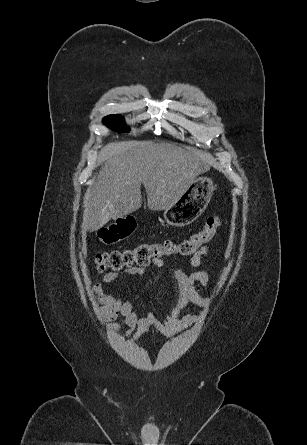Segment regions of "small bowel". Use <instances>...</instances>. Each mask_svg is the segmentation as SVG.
Here are the masks:
<instances>
[{"mask_svg":"<svg viewBox=\"0 0 307 445\" xmlns=\"http://www.w3.org/2000/svg\"><path fill=\"white\" fill-rule=\"evenodd\" d=\"M209 252L208 246L201 247L190 259V264L194 270L190 273L182 269H174L173 275L178 285V298L174 307L170 310L163 320H158L152 313L139 317L135 311V306L130 301H125L122 297L115 296L106 289L118 280L122 274L130 276H141L146 270L142 267H132L126 269L122 274L117 272L106 273L101 282L94 284L93 289L97 295L99 303L102 305L100 311L107 321H114L119 315L123 316V324L126 327V336H130L134 332L137 335L147 333L152 327H155L162 335L171 337L197 322L199 316L186 314L182 316V312L193 303L204 307L207 300L200 295L195 289V283L210 286V277L207 271L200 269L202 257ZM152 265L157 268L164 266L162 259H154Z\"/></svg>","mask_w":307,"mask_h":445,"instance_id":"1","label":"small bowel"}]
</instances>
